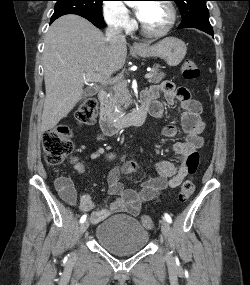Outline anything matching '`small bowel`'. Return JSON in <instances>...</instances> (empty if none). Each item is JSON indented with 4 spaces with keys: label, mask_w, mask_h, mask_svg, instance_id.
<instances>
[{
    "label": "small bowel",
    "mask_w": 250,
    "mask_h": 285,
    "mask_svg": "<svg viewBox=\"0 0 250 285\" xmlns=\"http://www.w3.org/2000/svg\"><path fill=\"white\" fill-rule=\"evenodd\" d=\"M163 96L168 105L178 100L181 104V124L185 133V140L174 143L173 150L178 156L179 163L176 165L169 160H160L156 164L158 176L156 178L143 179L138 190L124 189L120 183V175H132L137 173V165L133 162H126L121 167L112 169L107 176V183L110 194L116 196L114 201L106 209L94 210L95 204L87 193L80 195L78 208L82 212H90V221L93 224L99 223L113 213L124 212L137 216L143 203L154 199L161 190L170 187H178L188 174L186 166L187 157L203 145L202 132L204 123L201 119L202 107L199 102L192 99L187 88L176 89L171 82H163L145 91L141 98L149 108V113L156 119L164 116L163 103L159 100ZM161 134L166 137H174L177 128L174 124H167L161 128ZM100 141L104 136L98 137ZM107 160H112L115 154L108 152L104 154ZM75 169L83 173L84 165L77 158L72 160ZM57 190L62 199L70 205H76L77 193L67 178H61L56 183Z\"/></svg>",
    "instance_id": "1"
}]
</instances>
